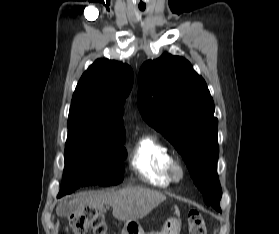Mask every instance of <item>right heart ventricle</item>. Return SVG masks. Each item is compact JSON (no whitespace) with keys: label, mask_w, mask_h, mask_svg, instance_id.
Masks as SVG:
<instances>
[{"label":"right heart ventricle","mask_w":279,"mask_h":234,"mask_svg":"<svg viewBox=\"0 0 279 234\" xmlns=\"http://www.w3.org/2000/svg\"><path fill=\"white\" fill-rule=\"evenodd\" d=\"M172 160L169 149L151 135H144L136 142L129 159L140 178L157 187H168L172 183L168 172Z\"/></svg>","instance_id":"obj_1"}]
</instances>
